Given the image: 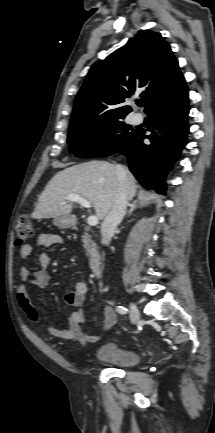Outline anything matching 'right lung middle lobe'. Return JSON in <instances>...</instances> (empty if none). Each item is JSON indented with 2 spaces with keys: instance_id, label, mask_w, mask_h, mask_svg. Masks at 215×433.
<instances>
[{
  "instance_id": "1",
  "label": "right lung middle lobe",
  "mask_w": 215,
  "mask_h": 433,
  "mask_svg": "<svg viewBox=\"0 0 215 433\" xmlns=\"http://www.w3.org/2000/svg\"><path fill=\"white\" fill-rule=\"evenodd\" d=\"M124 117L70 125V153L83 158L104 157L119 151L136 132Z\"/></svg>"
}]
</instances>
